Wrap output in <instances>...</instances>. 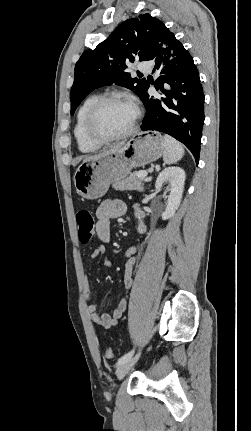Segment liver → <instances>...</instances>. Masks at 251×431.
Instances as JSON below:
<instances>
[{"mask_svg":"<svg viewBox=\"0 0 251 431\" xmlns=\"http://www.w3.org/2000/svg\"><path fill=\"white\" fill-rule=\"evenodd\" d=\"M124 144V142L118 143L112 147H110L109 149H105L102 152L95 154L93 156L87 157L84 161L86 160H93V159H97L99 157H102L110 152L116 151L117 149H119L122 145Z\"/></svg>","mask_w":251,"mask_h":431,"instance_id":"1","label":"liver"}]
</instances>
